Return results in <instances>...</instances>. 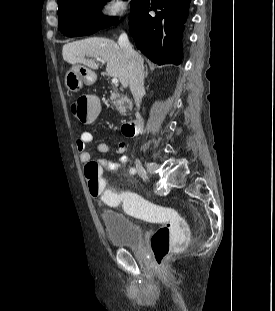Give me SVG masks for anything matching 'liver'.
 <instances>
[{"instance_id":"obj_1","label":"liver","mask_w":275,"mask_h":311,"mask_svg":"<svg viewBox=\"0 0 275 311\" xmlns=\"http://www.w3.org/2000/svg\"><path fill=\"white\" fill-rule=\"evenodd\" d=\"M63 59L72 64H83L91 69L98 65L85 57L101 58L107 63L106 72L117 77L124 88L129 84L128 58L120 46L106 38L92 37L67 43L62 49Z\"/></svg>"}]
</instances>
